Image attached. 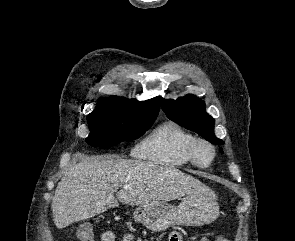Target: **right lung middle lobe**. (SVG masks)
<instances>
[{"instance_id": "1", "label": "right lung middle lobe", "mask_w": 295, "mask_h": 241, "mask_svg": "<svg viewBox=\"0 0 295 241\" xmlns=\"http://www.w3.org/2000/svg\"><path fill=\"white\" fill-rule=\"evenodd\" d=\"M156 117L122 102L100 98L95 110L87 116L90 129L87 143L111 147L135 140L152 126Z\"/></svg>"}]
</instances>
